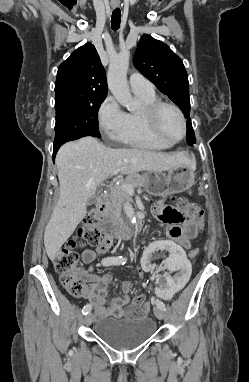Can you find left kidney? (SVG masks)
Here are the masks:
<instances>
[{
    "instance_id": "5707ae66",
    "label": "left kidney",
    "mask_w": 249,
    "mask_h": 382,
    "mask_svg": "<svg viewBox=\"0 0 249 382\" xmlns=\"http://www.w3.org/2000/svg\"><path fill=\"white\" fill-rule=\"evenodd\" d=\"M144 260L138 261V266L142 267L143 273H152L150 282L154 291V298L161 301L164 298H171L172 293H180L182 288H186L191 280V260L187 259L182 245H176L175 240H160L157 238L153 245H145ZM153 257H166L163 262H151ZM162 267H161V266Z\"/></svg>"
}]
</instances>
